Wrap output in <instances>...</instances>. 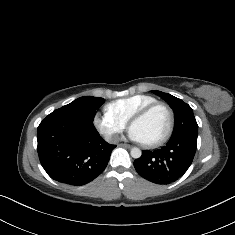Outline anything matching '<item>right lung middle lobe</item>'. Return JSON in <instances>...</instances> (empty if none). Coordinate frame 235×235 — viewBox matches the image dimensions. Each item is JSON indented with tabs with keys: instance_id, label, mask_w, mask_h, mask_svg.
I'll return each mask as SVG.
<instances>
[{
	"instance_id": "dd1d6c3e",
	"label": "right lung middle lobe",
	"mask_w": 235,
	"mask_h": 235,
	"mask_svg": "<svg viewBox=\"0 0 235 235\" xmlns=\"http://www.w3.org/2000/svg\"><path fill=\"white\" fill-rule=\"evenodd\" d=\"M104 102L103 98L84 96L57 109L60 112H67L80 116L86 120L93 121L96 109Z\"/></svg>"
}]
</instances>
